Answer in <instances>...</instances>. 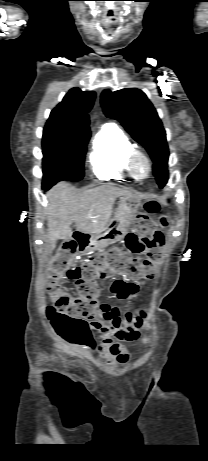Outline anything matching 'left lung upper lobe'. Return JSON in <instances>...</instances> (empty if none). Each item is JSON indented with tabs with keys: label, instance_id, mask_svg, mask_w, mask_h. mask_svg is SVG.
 I'll return each mask as SVG.
<instances>
[{
	"label": "left lung upper lobe",
	"instance_id": "left-lung-upper-lobe-1",
	"mask_svg": "<svg viewBox=\"0 0 208 461\" xmlns=\"http://www.w3.org/2000/svg\"><path fill=\"white\" fill-rule=\"evenodd\" d=\"M101 105L107 117L118 120L146 148L154 162V176L162 188L168 180L169 150L166 133L145 93L136 88L115 92L106 89L101 95Z\"/></svg>",
	"mask_w": 208,
	"mask_h": 461
}]
</instances>
